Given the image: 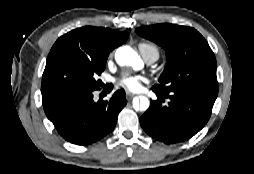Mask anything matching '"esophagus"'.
<instances>
[{"label": "esophagus", "instance_id": "1", "mask_svg": "<svg viewBox=\"0 0 254 174\" xmlns=\"http://www.w3.org/2000/svg\"><path fill=\"white\" fill-rule=\"evenodd\" d=\"M134 96H135V95L132 94V93H129V92L126 93V98H127V100H131Z\"/></svg>", "mask_w": 254, "mask_h": 174}]
</instances>
